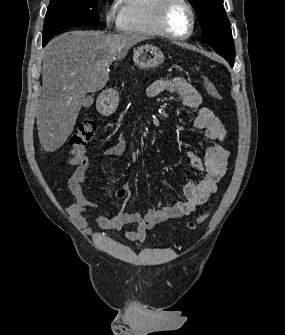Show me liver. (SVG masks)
<instances>
[{"label": "liver", "mask_w": 285, "mask_h": 335, "mask_svg": "<svg viewBox=\"0 0 285 335\" xmlns=\"http://www.w3.org/2000/svg\"><path fill=\"white\" fill-rule=\"evenodd\" d=\"M140 34H105L95 30L65 32L44 48L43 94L36 114L40 144L56 152L71 136L86 94L105 88L114 60H123Z\"/></svg>", "instance_id": "1"}]
</instances>
